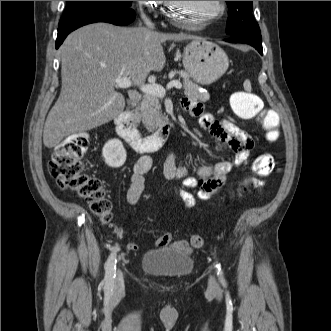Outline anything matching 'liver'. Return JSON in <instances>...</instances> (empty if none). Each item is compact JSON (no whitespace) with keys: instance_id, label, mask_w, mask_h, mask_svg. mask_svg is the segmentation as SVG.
Instances as JSON below:
<instances>
[{"instance_id":"6515ba94","label":"liver","mask_w":331,"mask_h":331,"mask_svg":"<svg viewBox=\"0 0 331 331\" xmlns=\"http://www.w3.org/2000/svg\"><path fill=\"white\" fill-rule=\"evenodd\" d=\"M192 39L197 37L107 23L69 34L59 49L62 87L45 122L44 145L53 148L71 134L116 118L125 99L115 90V79L128 77L134 86H143L149 73L161 71L166 63L161 43Z\"/></svg>"}]
</instances>
